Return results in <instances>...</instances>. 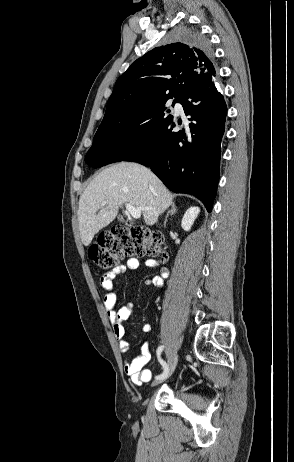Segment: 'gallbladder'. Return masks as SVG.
I'll return each mask as SVG.
<instances>
[{"mask_svg":"<svg viewBox=\"0 0 294 462\" xmlns=\"http://www.w3.org/2000/svg\"><path fill=\"white\" fill-rule=\"evenodd\" d=\"M118 221L123 222V218H122V217H119V218H118Z\"/></svg>","mask_w":294,"mask_h":462,"instance_id":"obj_1","label":"gallbladder"}]
</instances>
